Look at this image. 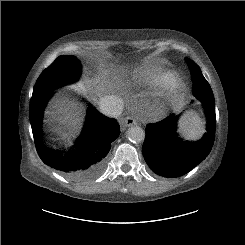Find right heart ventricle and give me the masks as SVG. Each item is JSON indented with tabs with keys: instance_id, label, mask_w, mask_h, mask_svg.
<instances>
[{
	"instance_id": "e07e8e85",
	"label": "right heart ventricle",
	"mask_w": 245,
	"mask_h": 245,
	"mask_svg": "<svg viewBox=\"0 0 245 245\" xmlns=\"http://www.w3.org/2000/svg\"><path fill=\"white\" fill-rule=\"evenodd\" d=\"M169 78L165 79L163 83H169Z\"/></svg>"
}]
</instances>
